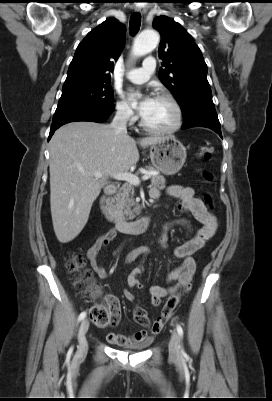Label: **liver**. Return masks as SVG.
Wrapping results in <instances>:
<instances>
[{
    "label": "liver",
    "mask_w": 272,
    "mask_h": 401,
    "mask_svg": "<svg viewBox=\"0 0 272 401\" xmlns=\"http://www.w3.org/2000/svg\"><path fill=\"white\" fill-rule=\"evenodd\" d=\"M159 139L146 137L138 144L147 147ZM136 144L129 135L116 134L110 125L88 121L68 123L54 133L49 144L50 207L59 242H70L82 231L109 177L136 165ZM97 171L101 178L94 176Z\"/></svg>",
    "instance_id": "obj_1"
}]
</instances>
